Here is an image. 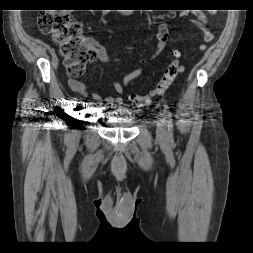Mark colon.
<instances>
[{"label": "colon", "instance_id": "obj_1", "mask_svg": "<svg viewBox=\"0 0 253 253\" xmlns=\"http://www.w3.org/2000/svg\"><path fill=\"white\" fill-rule=\"evenodd\" d=\"M39 26L42 32L51 34L59 45V52L65 60V66L72 77L81 76L86 65L95 59V50L90 41L83 35L81 24L73 20L65 11L42 13L39 16ZM169 64L164 75L154 88L147 94H132L130 101L136 106H149L173 85L184 67L179 63V54Z\"/></svg>", "mask_w": 253, "mask_h": 253}]
</instances>
